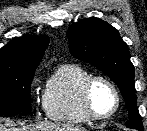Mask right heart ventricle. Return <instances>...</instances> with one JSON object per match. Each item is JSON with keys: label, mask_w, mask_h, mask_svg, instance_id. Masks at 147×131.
I'll return each mask as SVG.
<instances>
[{"label": "right heart ventricle", "mask_w": 147, "mask_h": 131, "mask_svg": "<svg viewBox=\"0 0 147 131\" xmlns=\"http://www.w3.org/2000/svg\"><path fill=\"white\" fill-rule=\"evenodd\" d=\"M91 72L79 64L58 67L47 83L44 105L47 116L57 122L84 124L91 121L82 105L81 91Z\"/></svg>", "instance_id": "obj_1"}]
</instances>
